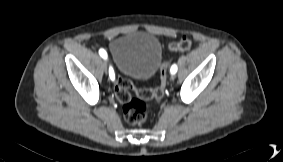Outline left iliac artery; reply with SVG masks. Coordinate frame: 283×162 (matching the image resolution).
<instances>
[{
  "mask_svg": "<svg viewBox=\"0 0 283 162\" xmlns=\"http://www.w3.org/2000/svg\"><path fill=\"white\" fill-rule=\"evenodd\" d=\"M170 71H171L172 74H175L177 72V66L175 64L172 65Z\"/></svg>",
  "mask_w": 283,
  "mask_h": 162,
  "instance_id": "obj_1",
  "label": "left iliac artery"
}]
</instances>
